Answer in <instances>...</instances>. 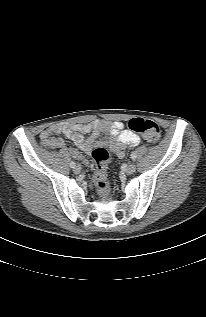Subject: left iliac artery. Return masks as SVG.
<instances>
[{"instance_id": "left-iliac-artery-1", "label": "left iliac artery", "mask_w": 206, "mask_h": 317, "mask_svg": "<svg viewBox=\"0 0 206 317\" xmlns=\"http://www.w3.org/2000/svg\"><path fill=\"white\" fill-rule=\"evenodd\" d=\"M130 156H131L130 158H131L132 160H135L136 157H137V155H136L135 152H132Z\"/></svg>"}]
</instances>
